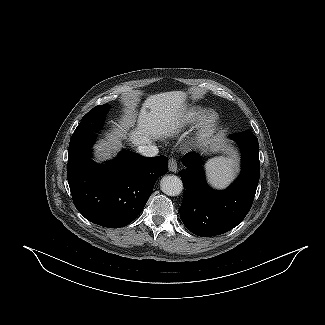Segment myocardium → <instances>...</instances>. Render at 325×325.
<instances>
[{
  "mask_svg": "<svg viewBox=\"0 0 325 325\" xmlns=\"http://www.w3.org/2000/svg\"><path fill=\"white\" fill-rule=\"evenodd\" d=\"M219 124V115L213 111H205L199 118L194 131V140L197 143L205 142L216 130Z\"/></svg>",
  "mask_w": 325,
  "mask_h": 325,
  "instance_id": "myocardium-1",
  "label": "myocardium"
}]
</instances>
